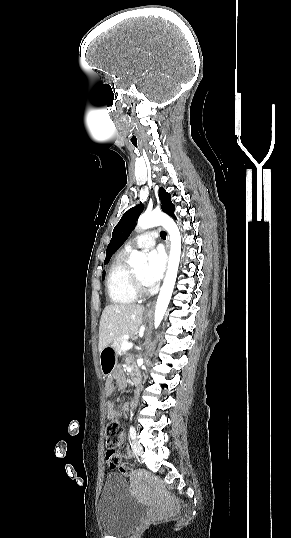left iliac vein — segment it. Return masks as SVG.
I'll return each instance as SVG.
<instances>
[{
    "label": "left iliac vein",
    "mask_w": 291,
    "mask_h": 538,
    "mask_svg": "<svg viewBox=\"0 0 291 538\" xmlns=\"http://www.w3.org/2000/svg\"><path fill=\"white\" fill-rule=\"evenodd\" d=\"M132 446L136 454L141 455L143 453V447L138 441L134 440Z\"/></svg>",
    "instance_id": "obj_1"
}]
</instances>
